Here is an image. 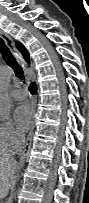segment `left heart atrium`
I'll return each instance as SVG.
<instances>
[{
  "instance_id": "39dd6f15",
  "label": "left heart atrium",
  "mask_w": 89,
  "mask_h": 203,
  "mask_svg": "<svg viewBox=\"0 0 89 203\" xmlns=\"http://www.w3.org/2000/svg\"><path fill=\"white\" fill-rule=\"evenodd\" d=\"M33 118V109L28 104L20 105L14 112V119L20 132H26L30 129Z\"/></svg>"
}]
</instances>
